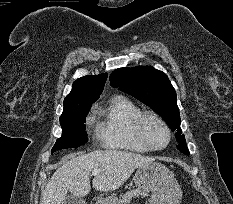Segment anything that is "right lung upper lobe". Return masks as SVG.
Instances as JSON below:
<instances>
[{
  "label": "right lung upper lobe",
  "instance_id": "right-lung-upper-lobe-1",
  "mask_svg": "<svg viewBox=\"0 0 233 204\" xmlns=\"http://www.w3.org/2000/svg\"><path fill=\"white\" fill-rule=\"evenodd\" d=\"M107 73L87 75L77 79L70 94L64 99V109L74 106H88L95 102L104 87Z\"/></svg>",
  "mask_w": 233,
  "mask_h": 204
}]
</instances>
